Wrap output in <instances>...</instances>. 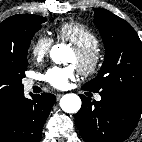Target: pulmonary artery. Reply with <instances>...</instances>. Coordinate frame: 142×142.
Segmentation results:
<instances>
[{
    "label": "pulmonary artery",
    "instance_id": "e3ab8cb5",
    "mask_svg": "<svg viewBox=\"0 0 142 142\" xmlns=\"http://www.w3.org/2000/svg\"><path fill=\"white\" fill-rule=\"evenodd\" d=\"M33 85H34V82H33L32 80H27V81L25 82V87H26V89H28V90L31 89ZM95 99H96L97 101H100V100H101V96H100V95H97Z\"/></svg>",
    "mask_w": 142,
    "mask_h": 142
}]
</instances>
